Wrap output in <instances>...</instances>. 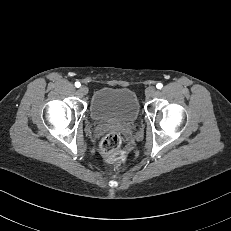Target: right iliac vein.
<instances>
[{
  "label": "right iliac vein",
  "instance_id": "63e3f726",
  "mask_svg": "<svg viewBox=\"0 0 231 231\" xmlns=\"http://www.w3.org/2000/svg\"><path fill=\"white\" fill-rule=\"evenodd\" d=\"M80 93L83 95L88 94V88L86 86H81L79 89Z\"/></svg>",
  "mask_w": 231,
  "mask_h": 231
}]
</instances>
